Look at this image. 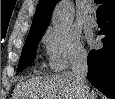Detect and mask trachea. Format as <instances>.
<instances>
[{"label": "trachea", "mask_w": 115, "mask_h": 99, "mask_svg": "<svg viewBox=\"0 0 115 99\" xmlns=\"http://www.w3.org/2000/svg\"><path fill=\"white\" fill-rule=\"evenodd\" d=\"M102 10H103V6L100 5L96 10L97 16H102L103 15Z\"/></svg>", "instance_id": "trachea-1"}]
</instances>
